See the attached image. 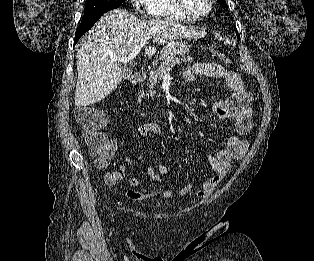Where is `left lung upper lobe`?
<instances>
[{
  "instance_id": "obj_1",
  "label": "left lung upper lobe",
  "mask_w": 314,
  "mask_h": 261,
  "mask_svg": "<svg viewBox=\"0 0 314 261\" xmlns=\"http://www.w3.org/2000/svg\"><path fill=\"white\" fill-rule=\"evenodd\" d=\"M218 3L221 5V7H228L225 0H218ZM236 34H237V38L240 40L238 33Z\"/></svg>"
}]
</instances>
